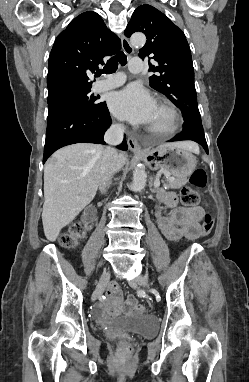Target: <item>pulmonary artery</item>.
<instances>
[{
	"mask_svg": "<svg viewBox=\"0 0 249 382\" xmlns=\"http://www.w3.org/2000/svg\"><path fill=\"white\" fill-rule=\"evenodd\" d=\"M145 65L141 58H131L128 68L132 73H138L144 69ZM125 82V76L122 73H117L113 76H106L96 84L97 91H105L119 87Z\"/></svg>",
	"mask_w": 249,
	"mask_h": 382,
	"instance_id": "e3ab8cb5",
	"label": "pulmonary artery"
}]
</instances>
